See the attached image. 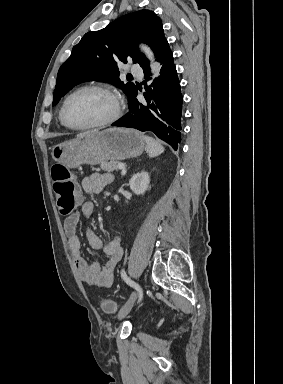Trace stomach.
<instances>
[{"label":"stomach","instance_id":"obj_1","mask_svg":"<svg viewBox=\"0 0 283 384\" xmlns=\"http://www.w3.org/2000/svg\"><path fill=\"white\" fill-rule=\"evenodd\" d=\"M143 150H146V142L140 132L108 128L58 144L54 146L51 156L55 162L67 168H78L81 164L97 166L108 160L119 162L126 158H137Z\"/></svg>","mask_w":283,"mask_h":384}]
</instances>
